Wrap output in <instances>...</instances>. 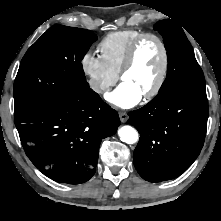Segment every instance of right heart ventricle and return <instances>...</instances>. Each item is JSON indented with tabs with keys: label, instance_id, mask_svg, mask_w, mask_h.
Segmentation results:
<instances>
[{
	"label": "right heart ventricle",
	"instance_id": "obj_1",
	"mask_svg": "<svg viewBox=\"0 0 221 221\" xmlns=\"http://www.w3.org/2000/svg\"><path fill=\"white\" fill-rule=\"evenodd\" d=\"M142 33L137 29L114 31L104 36L98 44L102 59L115 74H119L129 46Z\"/></svg>",
	"mask_w": 221,
	"mask_h": 221
}]
</instances>
